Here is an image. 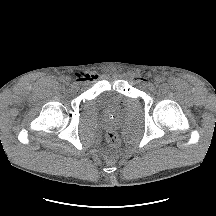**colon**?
Wrapping results in <instances>:
<instances>
[{"instance_id":"colon-1","label":"colon","mask_w":216,"mask_h":216,"mask_svg":"<svg viewBox=\"0 0 216 216\" xmlns=\"http://www.w3.org/2000/svg\"><path fill=\"white\" fill-rule=\"evenodd\" d=\"M106 139H107V142L109 143V145H111V146H116L119 143V137H118L117 133L114 131L108 132Z\"/></svg>"}]
</instances>
